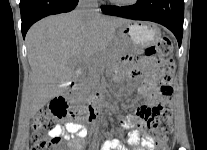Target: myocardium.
<instances>
[{
    "mask_svg": "<svg viewBox=\"0 0 207 150\" xmlns=\"http://www.w3.org/2000/svg\"><path fill=\"white\" fill-rule=\"evenodd\" d=\"M109 1L117 6L128 7L137 4L140 0H109Z\"/></svg>",
    "mask_w": 207,
    "mask_h": 150,
    "instance_id": "obj_1",
    "label": "myocardium"
}]
</instances>
